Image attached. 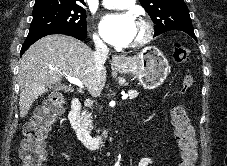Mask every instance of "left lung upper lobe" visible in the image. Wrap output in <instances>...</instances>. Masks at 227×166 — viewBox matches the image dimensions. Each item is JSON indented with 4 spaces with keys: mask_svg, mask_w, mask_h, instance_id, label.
Here are the masks:
<instances>
[{
    "mask_svg": "<svg viewBox=\"0 0 227 166\" xmlns=\"http://www.w3.org/2000/svg\"><path fill=\"white\" fill-rule=\"evenodd\" d=\"M142 7L150 15L155 35L180 30L193 31L189 10L184 0H139Z\"/></svg>",
    "mask_w": 227,
    "mask_h": 166,
    "instance_id": "obj_1",
    "label": "left lung upper lobe"
}]
</instances>
